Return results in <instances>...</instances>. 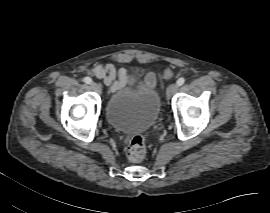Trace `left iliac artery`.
Segmentation results:
<instances>
[{
    "mask_svg": "<svg viewBox=\"0 0 270 213\" xmlns=\"http://www.w3.org/2000/svg\"><path fill=\"white\" fill-rule=\"evenodd\" d=\"M185 83V79L183 78V77H181V78H179L178 80H177V85L178 86H181V85H183Z\"/></svg>",
    "mask_w": 270,
    "mask_h": 213,
    "instance_id": "44dca946",
    "label": "left iliac artery"
}]
</instances>
